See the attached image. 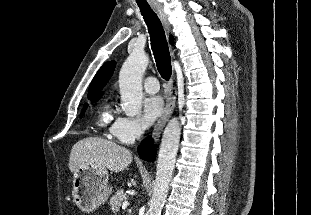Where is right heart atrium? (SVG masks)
Listing matches in <instances>:
<instances>
[{"mask_svg": "<svg viewBox=\"0 0 311 215\" xmlns=\"http://www.w3.org/2000/svg\"><path fill=\"white\" fill-rule=\"evenodd\" d=\"M111 135L122 144H132L143 134L140 122L132 117L121 116L110 126Z\"/></svg>", "mask_w": 311, "mask_h": 215, "instance_id": "1", "label": "right heart atrium"}]
</instances>
